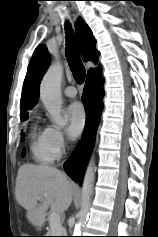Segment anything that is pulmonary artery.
I'll return each mask as SVG.
<instances>
[{
	"label": "pulmonary artery",
	"mask_w": 158,
	"mask_h": 237,
	"mask_svg": "<svg viewBox=\"0 0 158 237\" xmlns=\"http://www.w3.org/2000/svg\"><path fill=\"white\" fill-rule=\"evenodd\" d=\"M76 94H77V91L73 86H69V87L65 88V90H64V95L66 97L73 98L76 96Z\"/></svg>",
	"instance_id": "1"
}]
</instances>
